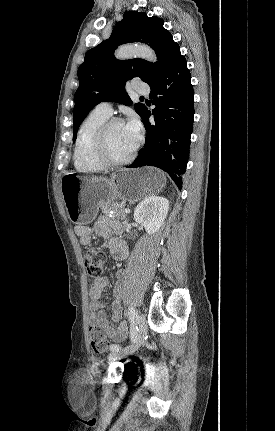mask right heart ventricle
Wrapping results in <instances>:
<instances>
[{
  "label": "right heart ventricle",
  "instance_id": "1",
  "mask_svg": "<svg viewBox=\"0 0 275 431\" xmlns=\"http://www.w3.org/2000/svg\"><path fill=\"white\" fill-rule=\"evenodd\" d=\"M109 116L93 110L82 121L74 148V165L83 173H95L105 167L95 158L93 144L97 131Z\"/></svg>",
  "mask_w": 275,
  "mask_h": 431
}]
</instances>
